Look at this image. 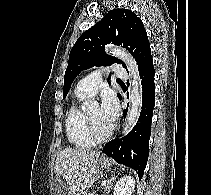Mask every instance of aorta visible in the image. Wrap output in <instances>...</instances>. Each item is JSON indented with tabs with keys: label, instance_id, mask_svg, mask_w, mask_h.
<instances>
[{
	"label": "aorta",
	"instance_id": "1",
	"mask_svg": "<svg viewBox=\"0 0 211 195\" xmlns=\"http://www.w3.org/2000/svg\"><path fill=\"white\" fill-rule=\"evenodd\" d=\"M106 51L124 61L131 75V90L129 95L130 105L123 130V134L126 135L136 125L142 106V85L138 66L135 59L124 49L111 46L107 47ZM95 106H97V102L93 100L87 101L83 104V108H91Z\"/></svg>",
	"mask_w": 211,
	"mask_h": 195
}]
</instances>
